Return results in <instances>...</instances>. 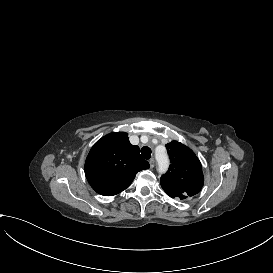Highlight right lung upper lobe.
<instances>
[{
    "label": "right lung upper lobe",
    "mask_w": 273,
    "mask_h": 273,
    "mask_svg": "<svg viewBox=\"0 0 273 273\" xmlns=\"http://www.w3.org/2000/svg\"><path fill=\"white\" fill-rule=\"evenodd\" d=\"M148 168L139 147L129 142L127 133L118 132L94 144L85 162V175L97 193L113 196L128 188L137 172Z\"/></svg>",
    "instance_id": "obj_1"
}]
</instances>
